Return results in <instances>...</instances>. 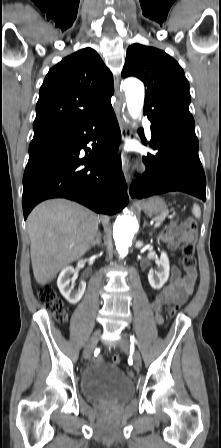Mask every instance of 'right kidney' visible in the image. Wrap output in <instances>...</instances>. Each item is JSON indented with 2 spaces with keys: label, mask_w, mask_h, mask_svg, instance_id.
Here are the masks:
<instances>
[{
  "label": "right kidney",
  "mask_w": 221,
  "mask_h": 448,
  "mask_svg": "<svg viewBox=\"0 0 221 448\" xmlns=\"http://www.w3.org/2000/svg\"><path fill=\"white\" fill-rule=\"evenodd\" d=\"M71 275H76L74 268L72 266L65 267L58 276L57 286H58L59 291L62 294V296L70 304H77L85 292L86 283L81 282L78 290L73 291V287L70 286V281H71L70 276Z\"/></svg>",
  "instance_id": "right-kidney-1"
}]
</instances>
